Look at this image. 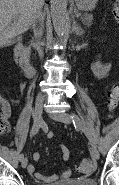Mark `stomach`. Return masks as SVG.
<instances>
[{"instance_id": "1", "label": "stomach", "mask_w": 119, "mask_h": 185, "mask_svg": "<svg viewBox=\"0 0 119 185\" xmlns=\"http://www.w3.org/2000/svg\"><path fill=\"white\" fill-rule=\"evenodd\" d=\"M76 6L81 11H91L95 8L97 0H75Z\"/></svg>"}]
</instances>
